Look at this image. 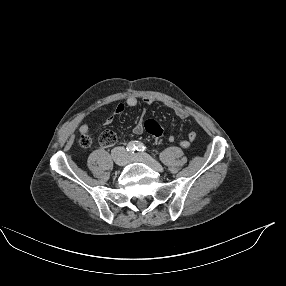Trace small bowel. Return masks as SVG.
<instances>
[{"label":"small bowel","mask_w":286,"mask_h":286,"mask_svg":"<svg viewBox=\"0 0 286 286\" xmlns=\"http://www.w3.org/2000/svg\"><path fill=\"white\" fill-rule=\"evenodd\" d=\"M154 101H155V99L153 97H145L143 99V102L146 103V104H152ZM137 105H138L137 97L129 96L126 99L125 103H119L116 106L114 113L105 120V123L106 124H111L114 121L116 116H118V115H120V114H122L124 112L126 107L134 108ZM172 110L174 111L176 116L179 117L180 119H186V118H188L190 116V113L186 109H184L182 107L173 106ZM146 120L147 119H146V117L144 115H142L140 117V119L137 121V123L135 124V126L133 128L134 134H136V135L143 134V132L145 130L144 124H145ZM79 130H80V133L82 134V136H87V137H89L91 139L90 133H89V127L86 124H82L80 126ZM196 137H197V133L195 131H191V132L188 133L187 138L181 140L179 144H180V146L182 148H188L191 145V143L193 141H195ZM175 138L176 137H175V135L173 133L168 136L169 142H174Z\"/></svg>","instance_id":"1"}]
</instances>
